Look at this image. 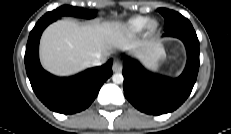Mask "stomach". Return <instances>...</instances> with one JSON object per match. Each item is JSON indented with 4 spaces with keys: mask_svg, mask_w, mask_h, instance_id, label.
Returning <instances> with one entry per match:
<instances>
[{
    "mask_svg": "<svg viewBox=\"0 0 231 134\" xmlns=\"http://www.w3.org/2000/svg\"><path fill=\"white\" fill-rule=\"evenodd\" d=\"M164 59H165V54L163 51H161L157 57L147 62L146 65L149 69L156 70Z\"/></svg>",
    "mask_w": 231,
    "mask_h": 134,
    "instance_id": "1",
    "label": "stomach"
}]
</instances>
